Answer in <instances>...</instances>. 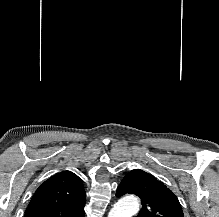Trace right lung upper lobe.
Segmentation results:
<instances>
[{
    "mask_svg": "<svg viewBox=\"0 0 219 217\" xmlns=\"http://www.w3.org/2000/svg\"><path fill=\"white\" fill-rule=\"evenodd\" d=\"M85 202L81 179L71 171H62L38 187L24 217H84Z\"/></svg>",
    "mask_w": 219,
    "mask_h": 217,
    "instance_id": "right-lung-upper-lobe-1",
    "label": "right lung upper lobe"
}]
</instances>
